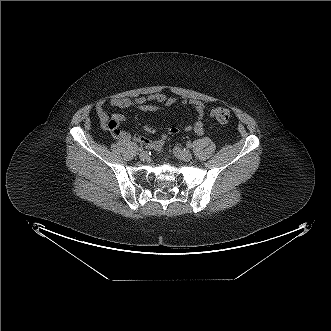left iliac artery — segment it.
Here are the masks:
<instances>
[{
    "instance_id": "1",
    "label": "left iliac artery",
    "mask_w": 331,
    "mask_h": 331,
    "mask_svg": "<svg viewBox=\"0 0 331 331\" xmlns=\"http://www.w3.org/2000/svg\"><path fill=\"white\" fill-rule=\"evenodd\" d=\"M186 146H187L188 148H192V144H191L190 142H188V143L186 144Z\"/></svg>"
}]
</instances>
